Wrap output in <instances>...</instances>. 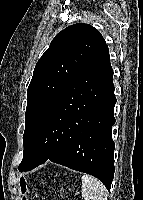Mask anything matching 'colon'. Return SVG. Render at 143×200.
Instances as JSON below:
<instances>
[{
	"label": "colon",
	"instance_id": "obj_1",
	"mask_svg": "<svg viewBox=\"0 0 143 200\" xmlns=\"http://www.w3.org/2000/svg\"><path fill=\"white\" fill-rule=\"evenodd\" d=\"M19 189L21 192V195L23 196L22 200H26V198L24 197L26 191H27V182L25 178H21L19 181Z\"/></svg>",
	"mask_w": 143,
	"mask_h": 200
}]
</instances>
